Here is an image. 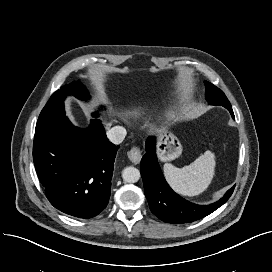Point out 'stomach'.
Returning <instances> with one entry per match:
<instances>
[{
	"label": "stomach",
	"instance_id": "0dacf381",
	"mask_svg": "<svg viewBox=\"0 0 272 272\" xmlns=\"http://www.w3.org/2000/svg\"><path fill=\"white\" fill-rule=\"evenodd\" d=\"M157 154L161 161H171L182 153V145L179 139L169 130L157 131Z\"/></svg>",
	"mask_w": 272,
	"mask_h": 272
}]
</instances>
